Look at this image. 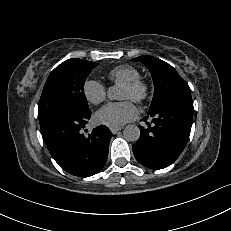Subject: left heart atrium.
Returning <instances> with one entry per match:
<instances>
[{
  "mask_svg": "<svg viewBox=\"0 0 231 231\" xmlns=\"http://www.w3.org/2000/svg\"><path fill=\"white\" fill-rule=\"evenodd\" d=\"M137 109L130 100L109 103L95 115V121L110 128H119L137 116Z\"/></svg>",
  "mask_w": 231,
  "mask_h": 231,
  "instance_id": "obj_1",
  "label": "left heart atrium"
}]
</instances>
